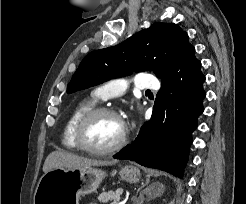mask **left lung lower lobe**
<instances>
[{
    "instance_id": "0a47b994",
    "label": "left lung lower lobe",
    "mask_w": 246,
    "mask_h": 204,
    "mask_svg": "<svg viewBox=\"0 0 246 204\" xmlns=\"http://www.w3.org/2000/svg\"><path fill=\"white\" fill-rule=\"evenodd\" d=\"M190 47L170 73L161 80L153 114L135 140L114 155L183 177L188 160L191 133L197 127V118L203 112L204 75L201 63Z\"/></svg>"
}]
</instances>
